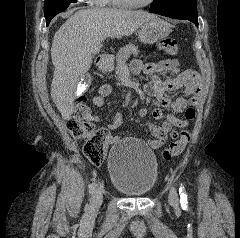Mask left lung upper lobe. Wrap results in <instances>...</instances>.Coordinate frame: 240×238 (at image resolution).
Masks as SVG:
<instances>
[{"label":"left lung upper lobe","mask_w":240,"mask_h":238,"mask_svg":"<svg viewBox=\"0 0 240 238\" xmlns=\"http://www.w3.org/2000/svg\"><path fill=\"white\" fill-rule=\"evenodd\" d=\"M169 5H191L197 6V0H154L151 8H161Z\"/></svg>","instance_id":"obj_1"}]
</instances>
